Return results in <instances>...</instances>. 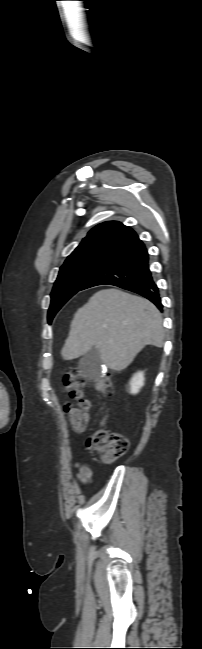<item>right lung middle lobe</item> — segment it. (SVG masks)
Returning a JSON list of instances; mask_svg holds the SVG:
<instances>
[{
	"label": "right lung middle lobe",
	"mask_w": 202,
	"mask_h": 649,
	"mask_svg": "<svg viewBox=\"0 0 202 649\" xmlns=\"http://www.w3.org/2000/svg\"><path fill=\"white\" fill-rule=\"evenodd\" d=\"M113 256L106 252H90L70 256L60 268L51 293L48 322L51 323L58 310L87 282V280Z\"/></svg>",
	"instance_id": "right-lung-middle-lobe-1"
}]
</instances>
